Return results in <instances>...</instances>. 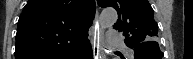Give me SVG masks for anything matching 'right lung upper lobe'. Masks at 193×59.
Returning a JSON list of instances; mask_svg holds the SVG:
<instances>
[{
    "label": "right lung upper lobe",
    "mask_w": 193,
    "mask_h": 59,
    "mask_svg": "<svg viewBox=\"0 0 193 59\" xmlns=\"http://www.w3.org/2000/svg\"><path fill=\"white\" fill-rule=\"evenodd\" d=\"M94 0H30L19 18L15 59H63L88 41Z\"/></svg>",
    "instance_id": "right-lung-upper-lobe-1"
}]
</instances>
